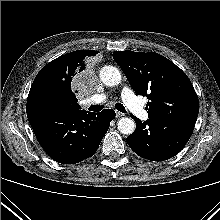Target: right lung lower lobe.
Wrapping results in <instances>:
<instances>
[{
	"label": "right lung lower lobe",
	"mask_w": 220,
	"mask_h": 220,
	"mask_svg": "<svg viewBox=\"0 0 220 220\" xmlns=\"http://www.w3.org/2000/svg\"><path fill=\"white\" fill-rule=\"evenodd\" d=\"M26 112L41 147L63 164L91 157L115 117L112 109L92 113L39 103L27 104Z\"/></svg>",
	"instance_id": "obj_1"
}]
</instances>
